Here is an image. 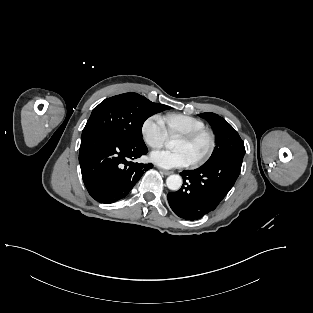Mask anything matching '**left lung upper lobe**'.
<instances>
[{
	"mask_svg": "<svg viewBox=\"0 0 313 313\" xmlns=\"http://www.w3.org/2000/svg\"><path fill=\"white\" fill-rule=\"evenodd\" d=\"M199 116L212 125L216 138V147L206 163L230 157H244V143L237 131L225 119L215 113H202Z\"/></svg>",
	"mask_w": 313,
	"mask_h": 313,
	"instance_id": "1",
	"label": "left lung upper lobe"
}]
</instances>
